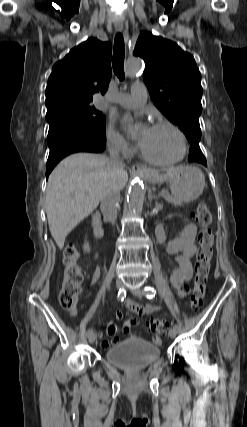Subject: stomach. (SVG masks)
<instances>
[{"mask_svg":"<svg viewBox=\"0 0 247 427\" xmlns=\"http://www.w3.org/2000/svg\"><path fill=\"white\" fill-rule=\"evenodd\" d=\"M147 180L153 184L169 182L172 195L186 203L198 199L205 187V176L202 171L188 165L170 168L163 174L154 173Z\"/></svg>","mask_w":247,"mask_h":427,"instance_id":"0dacf381","label":"stomach"}]
</instances>
